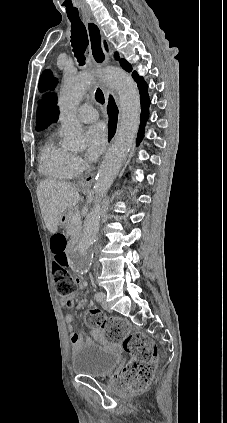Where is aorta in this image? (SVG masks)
I'll use <instances>...</instances> for the list:
<instances>
[{
  "instance_id": "762f6f07",
  "label": "aorta",
  "mask_w": 227,
  "mask_h": 423,
  "mask_svg": "<svg viewBox=\"0 0 227 423\" xmlns=\"http://www.w3.org/2000/svg\"><path fill=\"white\" fill-rule=\"evenodd\" d=\"M94 74L85 72L66 76L61 86L58 106L62 123L64 146L80 149L84 145L81 124L76 119V109L84 96ZM106 82L119 95L121 123L119 132L109 148L98 171L94 184L95 204L86 219L83 234L74 247L71 264L80 274L88 272L92 264V245L100 226V202L118 175L136 138L140 123V97L137 85L125 71L109 67L104 71Z\"/></svg>"
}]
</instances>
